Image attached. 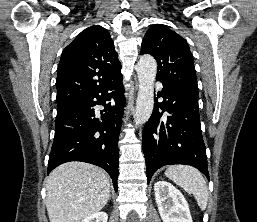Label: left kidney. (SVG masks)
I'll return each mask as SVG.
<instances>
[{
    "mask_svg": "<svg viewBox=\"0 0 257 222\" xmlns=\"http://www.w3.org/2000/svg\"><path fill=\"white\" fill-rule=\"evenodd\" d=\"M155 199L163 222H193L182 193L166 181L154 184Z\"/></svg>",
    "mask_w": 257,
    "mask_h": 222,
    "instance_id": "left-kidney-1",
    "label": "left kidney"
}]
</instances>
